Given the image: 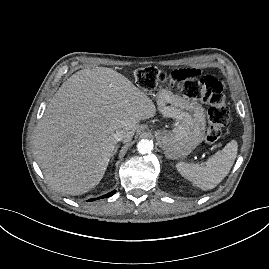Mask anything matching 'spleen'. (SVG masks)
<instances>
[{
	"label": "spleen",
	"mask_w": 269,
	"mask_h": 269,
	"mask_svg": "<svg viewBox=\"0 0 269 269\" xmlns=\"http://www.w3.org/2000/svg\"><path fill=\"white\" fill-rule=\"evenodd\" d=\"M238 144L229 142L204 164L179 162L176 168L182 177L206 191L215 188L229 173L237 156Z\"/></svg>",
	"instance_id": "spleen-1"
}]
</instances>
